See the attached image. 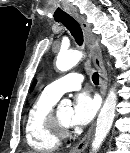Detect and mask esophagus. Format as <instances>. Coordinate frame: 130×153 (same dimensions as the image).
Instances as JSON below:
<instances>
[{
    "label": "esophagus",
    "instance_id": "obj_1",
    "mask_svg": "<svg viewBox=\"0 0 130 153\" xmlns=\"http://www.w3.org/2000/svg\"><path fill=\"white\" fill-rule=\"evenodd\" d=\"M73 16L81 25L86 44L90 50V54L93 59V62L99 72L100 93L102 98L104 99L106 95V91H107L108 77H107L106 69L103 64L101 49H100L98 40L95 38L94 34L92 33L89 22L83 16H80L78 14H74ZM93 128H94V124L89 128L88 132L85 134L82 140L73 149H71L70 153H81L87 148L93 133Z\"/></svg>",
    "mask_w": 130,
    "mask_h": 153
}]
</instances>
